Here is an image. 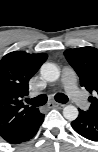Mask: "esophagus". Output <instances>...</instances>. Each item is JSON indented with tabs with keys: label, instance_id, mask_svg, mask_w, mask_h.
<instances>
[{
	"label": "esophagus",
	"instance_id": "esophagus-1",
	"mask_svg": "<svg viewBox=\"0 0 98 152\" xmlns=\"http://www.w3.org/2000/svg\"><path fill=\"white\" fill-rule=\"evenodd\" d=\"M48 106L52 107V108H63L64 104L52 101V102L48 103Z\"/></svg>",
	"mask_w": 98,
	"mask_h": 152
}]
</instances>
